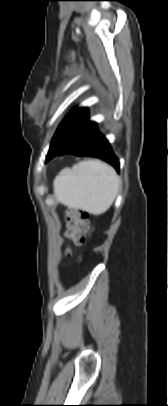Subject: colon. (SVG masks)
Segmentation results:
<instances>
[{"label": "colon", "instance_id": "colon-1", "mask_svg": "<svg viewBox=\"0 0 168 406\" xmlns=\"http://www.w3.org/2000/svg\"><path fill=\"white\" fill-rule=\"evenodd\" d=\"M93 231L88 215L76 209L68 212V230L66 236L76 245L87 242Z\"/></svg>", "mask_w": 168, "mask_h": 406}]
</instances>
